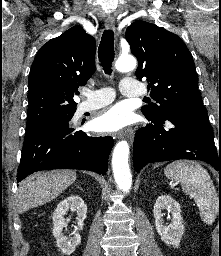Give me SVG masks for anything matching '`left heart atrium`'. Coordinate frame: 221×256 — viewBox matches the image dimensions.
Returning a JSON list of instances; mask_svg holds the SVG:
<instances>
[{"instance_id":"obj_1","label":"left heart atrium","mask_w":221,"mask_h":256,"mask_svg":"<svg viewBox=\"0 0 221 256\" xmlns=\"http://www.w3.org/2000/svg\"><path fill=\"white\" fill-rule=\"evenodd\" d=\"M130 123V115L122 106L116 105L105 110L94 121L97 131L115 132Z\"/></svg>"}]
</instances>
